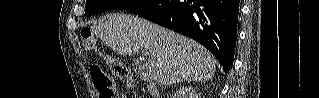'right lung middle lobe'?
I'll use <instances>...</instances> for the list:
<instances>
[{
    "label": "right lung middle lobe",
    "mask_w": 319,
    "mask_h": 98,
    "mask_svg": "<svg viewBox=\"0 0 319 98\" xmlns=\"http://www.w3.org/2000/svg\"><path fill=\"white\" fill-rule=\"evenodd\" d=\"M150 0H87L85 15L91 16L108 10H131L146 5Z\"/></svg>",
    "instance_id": "right-lung-middle-lobe-1"
}]
</instances>
